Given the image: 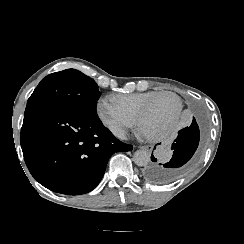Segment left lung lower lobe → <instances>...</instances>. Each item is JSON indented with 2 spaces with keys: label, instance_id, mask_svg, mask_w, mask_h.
Instances as JSON below:
<instances>
[{
  "label": "left lung lower lobe",
  "instance_id": "obj_1",
  "mask_svg": "<svg viewBox=\"0 0 244 244\" xmlns=\"http://www.w3.org/2000/svg\"><path fill=\"white\" fill-rule=\"evenodd\" d=\"M199 140V126L193 117L191 125L178 132V137L172 144L173 156L170 161L165 164L158 163L152 155L153 163L144 167L142 177L146 181L156 184L171 183L180 179L194 163Z\"/></svg>",
  "mask_w": 244,
  "mask_h": 244
}]
</instances>
